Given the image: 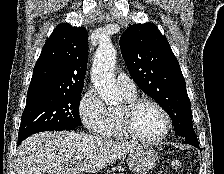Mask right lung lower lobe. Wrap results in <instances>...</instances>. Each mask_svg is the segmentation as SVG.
<instances>
[{
  "label": "right lung lower lobe",
  "instance_id": "right-lung-lower-lobe-1",
  "mask_svg": "<svg viewBox=\"0 0 224 174\" xmlns=\"http://www.w3.org/2000/svg\"><path fill=\"white\" fill-rule=\"evenodd\" d=\"M65 130H71V129H65ZM28 136H22V137H18V145Z\"/></svg>",
  "mask_w": 224,
  "mask_h": 174
}]
</instances>
